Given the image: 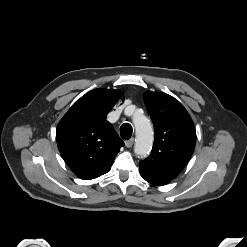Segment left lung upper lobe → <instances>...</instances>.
Returning <instances> with one entry per match:
<instances>
[{"mask_svg":"<svg viewBox=\"0 0 247 247\" xmlns=\"http://www.w3.org/2000/svg\"><path fill=\"white\" fill-rule=\"evenodd\" d=\"M144 102L154 125L151 155L140 161L141 176L157 186L168 184L188 163L196 143L194 123L174 97L147 91Z\"/></svg>","mask_w":247,"mask_h":247,"instance_id":"left-lung-upper-lobe-1","label":"left lung upper lobe"}]
</instances>
